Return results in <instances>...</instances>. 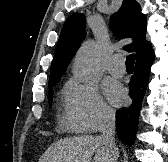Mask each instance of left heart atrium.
<instances>
[{"instance_id":"1","label":"left heart atrium","mask_w":168,"mask_h":162,"mask_svg":"<svg viewBox=\"0 0 168 162\" xmlns=\"http://www.w3.org/2000/svg\"><path fill=\"white\" fill-rule=\"evenodd\" d=\"M106 94L114 104H121L125 99L124 90L120 86L115 84L107 87Z\"/></svg>"}]
</instances>
